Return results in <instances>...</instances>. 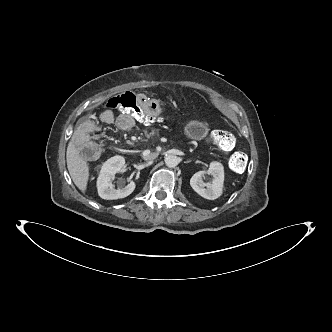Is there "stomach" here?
Here are the masks:
<instances>
[{"label":"stomach","instance_id":"stomach-1","mask_svg":"<svg viewBox=\"0 0 332 332\" xmlns=\"http://www.w3.org/2000/svg\"><path fill=\"white\" fill-rule=\"evenodd\" d=\"M185 133L193 139H203L207 135V126L203 122L190 121L185 127Z\"/></svg>","mask_w":332,"mask_h":332}]
</instances>
